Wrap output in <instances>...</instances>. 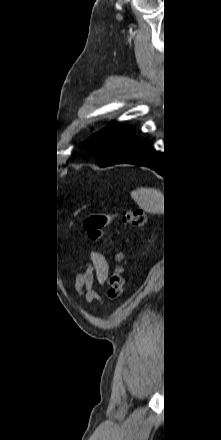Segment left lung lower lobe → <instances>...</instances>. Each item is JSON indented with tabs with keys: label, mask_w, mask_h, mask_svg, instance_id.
I'll list each match as a JSON object with an SVG mask.
<instances>
[{
	"label": "left lung lower lobe",
	"mask_w": 221,
	"mask_h": 440,
	"mask_svg": "<svg viewBox=\"0 0 221 440\" xmlns=\"http://www.w3.org/2000/svg\"><path fill=\"white\" fill-rule=\"evenodd\" d=\"M121 163L146 166L165 177L168 173L166 162L164 163L163 157L151 147V142L135 134L122 158L114 164Z\"/></svg>",
	"instance_id": "left-lung-lower-lobe-1"
}]
</instances>
